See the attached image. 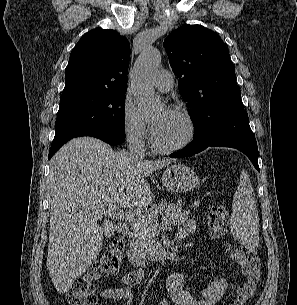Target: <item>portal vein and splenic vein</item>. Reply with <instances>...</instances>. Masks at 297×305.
Segmentation results:
<instances>
[{
    "mask_svg": "<svg viewBox=\"0 0 297 305\" xmlns=\"http://www.w3.org/2000/svg\"><path fill=\"white\" fill-rule=\"evenodd\" d=\"M98 213L101 216L105 215L109 217L123 218L131 222L143 217V214L133 210H124L115 205H110L106 208L99 209Z\"/></svg>",
    "mask_w": 297,
    "mask_h": 305,
    "instance_id": "portal-vein-and-splenic-vein-1",
    "label": "portal vein and splenic vein"
}]
</instances>
